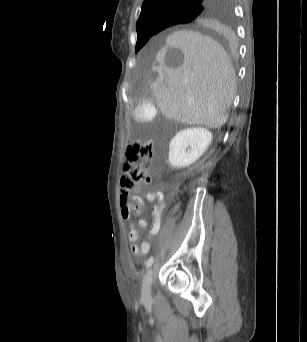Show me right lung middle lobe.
Returning <instances> with one entry per match:
<instances>
[{"label":"right lung middle lobe","mask_w":307,"mask_h":342,"mask_svg":"<svg viewBox=\"0 0 307 342\" xmlns=\"http://www.w3.org/2000/svg\"><path fill=\"white\" fill-rule=\"evenodd\" d=\"M199 13L200 11L197 9H184L164 14L156 26L137 32L135 52H138L154 34L173 25L186 24L195 19Z\"/></svg>","instance_id":"obj_1"}]
</instances>
